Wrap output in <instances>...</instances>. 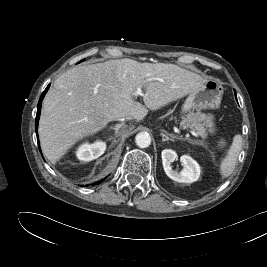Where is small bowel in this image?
I'll list each match as a JSON object with an SVG mask.
<instances>
[{
  "label": "small bowel",
  "mask_w": 267,
  "mask_h": 267,
  "mask_svg": "<svg viewBox=\"0 0 267 267\" xmlns=\"http://www.w3.org/2000/svg\"><path fill=\"white\" fill-rule=\"evenodd\" d=\"M206 121H207L208 125H211V120H210V118H207Z\"/></svg>",
  "instance_id": "obj_1"
}]
</instances>
